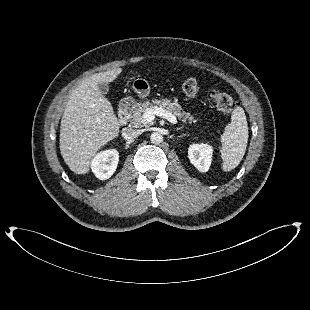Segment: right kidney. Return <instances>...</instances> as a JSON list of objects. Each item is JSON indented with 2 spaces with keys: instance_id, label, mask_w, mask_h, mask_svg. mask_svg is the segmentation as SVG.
I'll use <instances>...</instances> for the list:
<instances>
[{
  "instance_id": "ca27d5eb",
  "label": "right kidney",
  "mask_w": 310,
  "mask_h": 310,
  "mask_svg": "<svg viewBox=\"0 0 310 310\" xmlns=\"http://www.w3.org/2000/svg\"><path fill=\"white\" fill-rule=\"evenodd\" d=\"M119 153L116 150H105L98 153L91 161V170L100 180L109 179L116 171Z\"/></svg>"
}]
</instances>
